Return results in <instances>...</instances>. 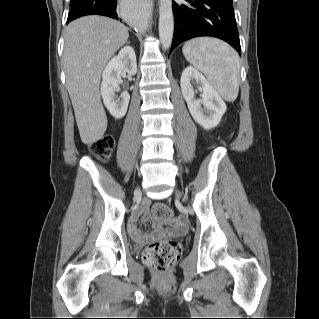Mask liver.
Masks as SVG:
<instances>
[{
    "mask_svg": "<svg viewBox=\"0 0 319 319\" xmlns=\"http://www.w3.org/2000/svg\"><path fill=\"white\" fill-rule=\"evenodd\" d=\"M128 38L125 25L104 16L81 17L66 27L63 52L66 87L84 144L100 140L107 129L99 92L101 73Z\"/></svg>",
    "mask_w": 319,
    "mask_h": 319,
    "instance_id": "6515ba94",
    "label": "liver"
}]
</instances>
